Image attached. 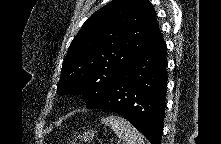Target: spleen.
<instances>
[{"label":"spleen","mask_w":221,"mask_h":144,"mask_svg":"<svg viewBox=\"0 0 221 144\" xmlns=\"http://www.w3.org/2000/svg\"><path fill=\"white\" fill-rule=\"evenodd\" d=\"M101 122L114 131L125 144H144L141 133L126 119L120 116H108L101 119Z\"/></svg>","instance_id":"1"}]
</instances>
